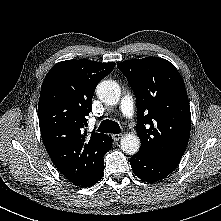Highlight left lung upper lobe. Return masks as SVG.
I'll list each match as a JSON object with an SVG mask.
<instances>
[{
  "instance_id": "obj_1",
  "label": "left lung upper lobe",
  "mask_w": 221,
  "mask_h": 221,
  "mask_svg": "<svg viewBox=\"0 0 221 221\" xmlns=\"http://www.w3.org/2000/svg\"><path fill=\"white\" fill-rule=\"evenodd\" d=\"M117 67L136 96L139 152L179 162L190 135L191 113L178 70L159 57L127 60Z\"/></svg>"
}]
</instances>
